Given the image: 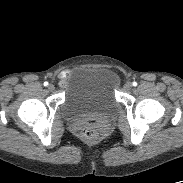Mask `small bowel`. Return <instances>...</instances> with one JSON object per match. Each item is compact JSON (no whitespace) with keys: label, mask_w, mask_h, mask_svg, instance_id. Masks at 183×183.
Masks as SVG:
<instances>
[{"label":"small bowel","mask_w":183,"mask_h":183,"mask_svg":"<svg viewBox=\"0 0 183 183\" xmlns=\"http://www.w3.org/2000/svg\"><path fill=\"white\" fill-rule=\"evenodd\" d=\"M68 77V73L67 72H64L61 76V78L64 80Z\"/></svg>","instance_id":"1"}]
</instances>
